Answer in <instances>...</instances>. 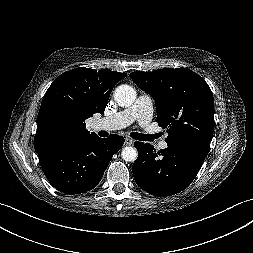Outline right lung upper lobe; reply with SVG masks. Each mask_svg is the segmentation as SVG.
Returning <instances> with one entry per match:
<instances>
[{
  "instance_id": "obj_1",
  "label": "right lung upper lobe",
  "mask_w": 253,
  "mask_h": 253,
  "mask_svg": "<svg viewBox=\"0 0 253 253\" xmlns=\"http://www.w3.org/2000/svg\"><path fill=\"white\" fill-rule=\"evenodd\" d=\"M126 75L79 67L56 78L46 91L38 113L35 151L97 136L86 130L85 121L96 112L104 113L114 85Z\"/></svg>"
}]
</instances>
